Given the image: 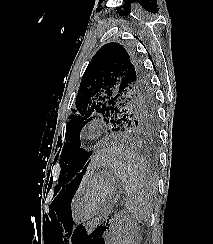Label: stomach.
I'll return each mask as SVG.
<instances>
[{"mask_svg":"<svg viewBox=\"0 0 213 244\" xmlns=\"http://www.w3.org/2000/svg\"><path fill=\"white\" fill-rule=\"evenodd\" d=\"M108 170L90 175L85 185L81 186L77 195V212L75 220L83 222L98 215L112 199L118 184L113 171Z\"/></svg>","mask_w":213,"mask_h":244,"instance_id":"0dacf381","label":"stomach"}]
</instances>
